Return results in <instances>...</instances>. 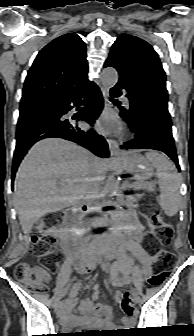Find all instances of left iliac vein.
<instances>
[{"mask_svg": "<svg viewBox=\"0 0 194 336\" xmlns=\"http://www.w3.org/2000/svg\"><path fill=\"white\" fill-rule=\"evenodd\" d=\"M131 292H132V294H133V296H134V302H135V303H140V297L137 296L136 291H135L134 289H132Z\"/></svg>", "mask_w": 194, "mask_h": 336, "instance_id": "1", "label": "left iliac vein"}]
</instances>
